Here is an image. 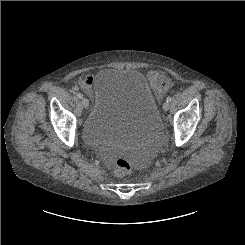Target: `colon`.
<instances>
[{
  "instance_id": "5ec220e1",
  "label": "colon",
  "mask_w": 245,
  "mask_h": 245,
  "mask_svg": "<svg viewBox=\"0 0 245 245\" xmlns=\"http://www.w3.org/2000/svg\"><path fill=\"white\" fill-rule=\"evenodd\" d=\"M131 170V164L128 160L120 158L114 163V171L118 176H124Z\"/></svg>"
}]
</instances>
